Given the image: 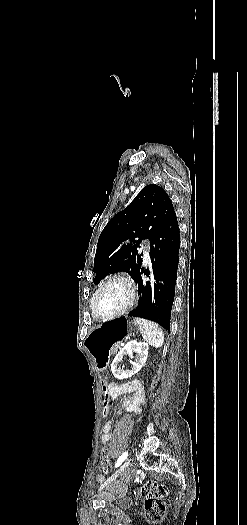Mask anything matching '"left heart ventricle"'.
<instances>
[{
	"label": "left heart ventricle",
	"mask_w": 247,
	"mask_h": 525,
	"mask_svg": "<svg viewBox=\"0 0 247 525\" xmlns=\"http://www.w3.org/2000/svg\"><path fill=\"white\" fill-rule=\"evenodd\" d=\"M129 298V287L122 281L105 284L98 292L95 305L101 312H110L122 306Z\"/></svg>",
	"instance_id": "obj_1"
}]
</instances>
